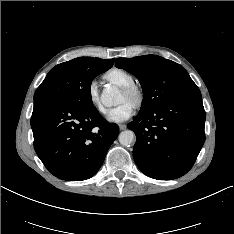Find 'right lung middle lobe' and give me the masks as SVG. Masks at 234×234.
<instances>
[{
  "mask_svg": "<svg viewBox=\"0 0 234 234\" xmlns=\"http://www.w3.org/2000/svg\"><path fill=\"white\" fill-rule=\"evenodd\" d=\"M79 58L58 64L51 69L37 88L34 101L55 98L69 101L82 108L92 107L91 83L97 75L108 69L86 67Z\"/></svg>",
  "mask_w": 234,
  "mask_h": 234,
  "instance_id": "1",
  "label": "right lung middle lobe"
}]
</instances>
